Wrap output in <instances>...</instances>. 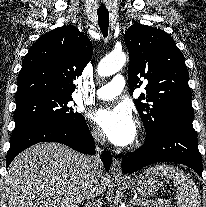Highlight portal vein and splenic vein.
I'll return each mask as SVG.
<instances>
[{
	"instance_id": "portal-vein-and-splenic-vein-1",
	"label": "portal vein and splenic vein",
	"mask_w": 206,
	"mask_h": 207,
	"mask_svg": "<svg viewBox=\"0 0 206 207\" xmlns=\"http://www.w3.org/2000/svg\"><path fill=\"white\" fill-rule=\"evenodd\" d=\"M135 202H136L137 204H139L140 200H136Z\"/></svg>"
}]
</instances>
